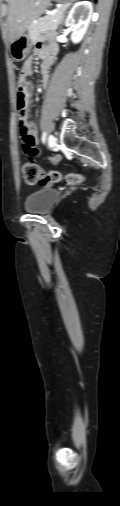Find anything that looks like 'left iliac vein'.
Returning a JSON list of instances; mask_svg holds the SVG:
<instances>
[{
	"mask_svg": "<svg viewBox=\"0 0 120 506\" xmlns=\"http://www.w3.org/2000/svg\"><path fill=\"white\" fill-rule=\"evenodd\" d=\"M48 144H49L50 147H53V146L56 145V138H55L54 135H52V134L49 135V137H48Z\"/></svg>",
	"mask_w": 120,
	"mask_h": 506,
	"instance_id": "4c4485c4",
	"label": "left iliac vein"
}]
</instances>
